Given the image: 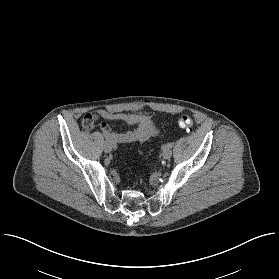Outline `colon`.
Instances as JSON below:
<instances>
[{
	"label": "colon",
	"instance_id": "obj_1",
	"mask_svg": "<svg viewBox=\"0 0 279 279\" xmlns=\"http://www.w3.org/2000/svg\"><path fill=\"white\" fill-rule=\"evenodd\" d=\"M176 125L183 129H188L192 126V119L188 115H180L176 118ZM85 129H91L90 125L84 124Z\"/></svg>",
	"mask_w": 279,
	"mask_h": 279
}]
</instances>
